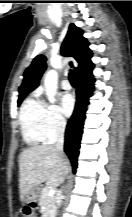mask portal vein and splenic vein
Returning a JSON list of instances; mask_svg holds the SVG:
<instances>
[{
	"instance_id": "obj_1",
	"label": "portal vein and splenic vein",
	"mask_w": 132,
	"mask_h": 217,
	"mask_svg": "<svg viewBox=\"0 0 132 217\" xmlns=\"http://www.w3.org/2000/svg\"><path fill=\"white\" fill-rule=\"evenodd\" d=\"M55 193H56L55 189H53V188L49 189V195L50 196H53Z\"/></svg>"
}]
</instances>
